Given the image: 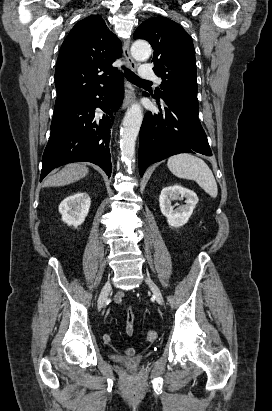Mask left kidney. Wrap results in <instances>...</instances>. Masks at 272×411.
Segmentation results:
<instances>
[{
    "label": "left kidney",
    "instance_id": "obj_1",
    "mask_svg": "<svg viewBox=\"0 0 272 411\" xmlns=\"http://www.w3.org/2000/svg\"><path fill=\"white\" fill-rule=\"evenodd\" d=\"M180 196L186 199L185 205L174 209L171 206V201L179 199ZM197 203V195L193 191L179 185L163 188L159 197L161 213L167 218L169 226L175 228L181 227L188 222Z\"/></svg>",
    "mask_w": 272,
    "mask_h": 411
}]
</instances>
